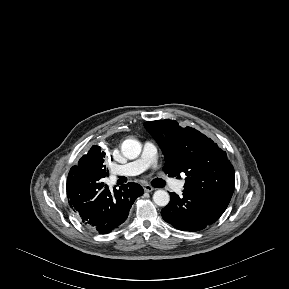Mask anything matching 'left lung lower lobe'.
<instances>
[{"mask_svg": "<svg viewBox=\"0 0 289 289\" xmlns=\"http://www.w3.org/2000/svg\"><path fill=\"white\" fill-rule=\"evenodd\" d=\"M169 204L161 211L163 219L175 228L195 232L214 223L226 210L225 205L190 189L183 196L170 193Z\"/></svg>", "mask_w": 289, "mask_h": 289, "instance_id": "obj_1", "label": "left lung lower lobe"}]
</instances>
